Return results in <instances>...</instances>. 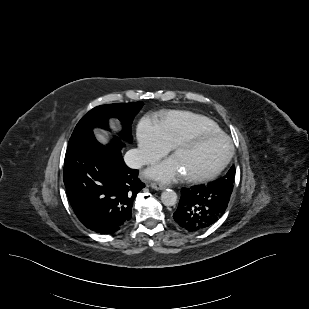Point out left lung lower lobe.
<instances>
[{
	"mask_svg": "<svg viewBox=\"0 0 309 309\" xmlns=\"http://www.w3.org/2000/svg\"><path fill=\"white\" fill-rule=\"evenodd\" d=\"M233 188L214 183L181 189V199L173 218L189 232H201L215 224L224 214Z\"/></svg>",
	"mask_w": 309,
	"mask_h": 309,
	"instance_id": "0a47b994",
	"label": "left lung lower lobe"
}]
</instances>
